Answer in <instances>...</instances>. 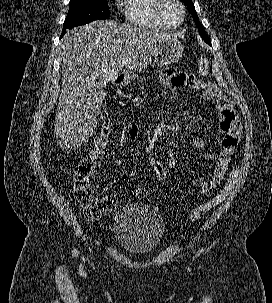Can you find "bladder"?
<instances>
[{
    "label": "bladder",
    "mask_w": 272,
    "mask_h": 303,
    "mask_svg": "<svg viewBox=\"0 0 272 303\" xmlns=\"http://www.w3.org/2000/svg\"><path fill=\"white\" fill-rule=\"evenodd\" d=\"M165 224L159 211L147 204L130 203L116 213L113 231L119 245L135 255L153 251L161 242Z\"/></svg>",
    "instance_id": "31cf9c89"
}]
</instances>
